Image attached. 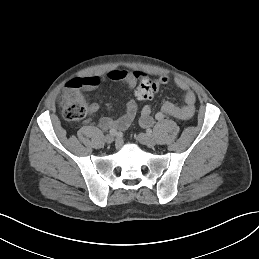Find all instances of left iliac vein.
<instances>
[{
	"mask_svg": "<svg viewBox=\"0 0 259 259\" xmlns=\"http://www.w3.org/2000/svg\"><path fill=\"white\" fill-rule=\"evenodd\" d=\"M138 140L148 147H153L156 144V138L152 134L140 133Z\"/></svg>",
	"mask_w": 259,
	"mask_h": 259,
	"instance_id": "1",
	"label": "left iliac vein"
}]
</instances>
